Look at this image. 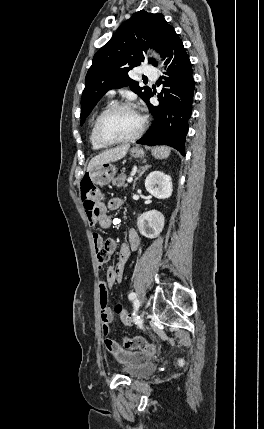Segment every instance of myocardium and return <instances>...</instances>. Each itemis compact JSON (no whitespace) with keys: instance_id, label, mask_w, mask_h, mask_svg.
<instances>
[{"instance_id":"f54148a6","label":"myocardium","mask_w":264,"mask_h":429,"mask_svg":"<svg viewBox=\"0 0 264 429\" xmlns=\"http://www.w3.org/2000/svg\"><path fill=\"white\" fill-rule=\"evenodd\" d=\"M125 108L134 109L139 114L140 125H139L138 129L136 130V132L134 134H132L131 136H129L127 138L118 139V140H106L105 138L102 137L101 131H100L103 121L113 112L120 110V109H125ZM145 126H146V118L138 111L137 107L131 102L120 101V102H116V103L111 104L99 115V117L97 118L95 125H94V137L98 143H100L101 145H104V146H111V145H116V144L128 143V142H132V141H135L136 139H138L141 136V134L143 133Z\"/></svg>"}]
</instances>
